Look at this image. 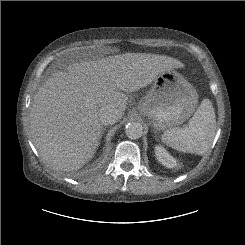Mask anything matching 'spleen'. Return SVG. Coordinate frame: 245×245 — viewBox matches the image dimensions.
Instances as JSON below:
<instances>
[{"label": "spleen", "instance_id": "3e777b00", "mask_svg": "<svg viewBox=\"0 0 245 245\" xmlns=\"http://www.w3.org/2000/svg\"><path fill=\"white\" fill-rule=\"evenodd\" d=\"M216 132V116L209 99H204L188 125L172 128L162 134V141L169 147L185 153L202 155L208 151Z\"/></svg>", "mask_w": 245, "mask_h": 245}]
</instances>
